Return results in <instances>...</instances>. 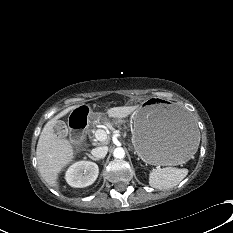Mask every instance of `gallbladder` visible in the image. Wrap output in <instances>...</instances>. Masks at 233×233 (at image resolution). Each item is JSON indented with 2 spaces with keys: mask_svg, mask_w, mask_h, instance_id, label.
I'll use <instances>...</instances> for the list:
<instances>
[{
  "mask_svg": "<svg viewBox=\"0 0 233 233\" xmlns=\"http://www.w3.org/2000/svg\"><path fill=\"white\" fill-rule=\"evenodd\" d=\"M63 128H65V123L62 122V121H59L58 124H57V127L55 128L56 131H57L59 134L64 135L65 131H64Z\"/></svg>",
  "mask_w": 233,
  "mask_h": 233,
  "instance_id": "1",
  "label": "gallbladder"
}]
</instances>
